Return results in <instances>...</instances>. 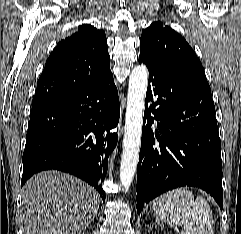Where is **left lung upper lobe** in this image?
Segmentation results:
<instances>
[{"instance_id":"1","label":"left lung upper lobe","mask_w":241,"mask_h":234,"mask_svg":"<svg viewBox=\"0 0 241 234\" xmlns=\"http://www.w3.org/2000/svg\"><path fill=\"white\" fill-rule=\"evenodd\" d=\"M139 57L169 76L211 91L195 52L181 35L161 22L143 31Z\"/></svg>"}]
</instances>
